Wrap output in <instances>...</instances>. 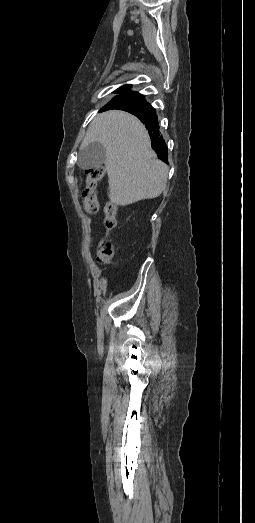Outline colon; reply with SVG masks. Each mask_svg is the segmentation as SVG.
<instances>
[{
    "instance_id": "5ec220e1",
    "label": "colon",
    "mask_w": 255,
    "mask_h": 523,
    "mask_svg": "<svg viewBox=\"0 0 255 523\" xmlns=\"http://www.w3.org/2000/svg\"><path fill=\"white\" fill-rule=\"evenodd\" d=\"M86 187L83 191V209L87 214H96L99 210L98 185L104 178L105 169L102 166L92 167L85 171ZM117 207L112 202L105 204L103 209V225L105 236L99 241L96 249V259L107 264L114 258V246L109 234L117 227Z\"/></svg>"
}]
</instances>
